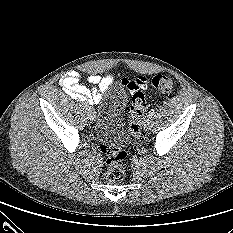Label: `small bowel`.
I'll return each instance as SVG.
<instances>
[{
	"instance_id": "obj_1",
	"label": "small bowel",
	"mask_w": 233,
	"mask_h": 233,
	"mask_svg": "<svg viewBox=\"0 0 233 233\" xmlns=\"http://www.w3.org/2000/svg\"><path fill=\"white\" fill-rule=\"evenodd\" d=\"M88 82L91 87H87L80 83V74L75 70L69 71L64 75L60 84L64 91L73 99L85 101L90 104L98 103L104 93L108 90L113 82L112 75H107L102 77L98 74H91L88 76ZM138 82L142 87L146 85V79L140 78L137 80H127L124 79V85L130 90L131 84ZM131 91V90H130Z\"/></svg>"
}]
</instances>
